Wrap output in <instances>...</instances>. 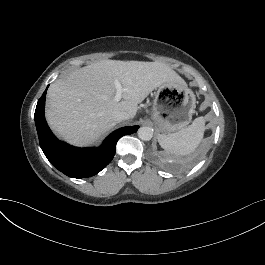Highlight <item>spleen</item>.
Returning a JSON list of instances; mask_svg holds the SVG:
<instances>
[{
	"label": "spleen",
	"mask_w": 265,
	"mask_h": 265,
	"mask_svg": "<svg viewBox=\"0 0 265 265\" xmlns=\"http://www.w3.org/2000/svg\"><path fill=\"white\" fill-rule=\"evenodd\" d=\"M203 119L196 118L193 123L177 132L159 134L158 140L163 148L175 154H189L201 141Z\"/></svg>",
	"instance_id": "3e777b00"
}]
</instances>
